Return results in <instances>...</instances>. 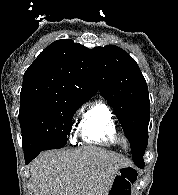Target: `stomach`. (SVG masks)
Segmentation results:
<instances>
[{
  "label": "stomach",
  "mask_w": 178,
  "mask_h": 195,
  "mask_svg": "<svg viewBox=\"0 0 178 195\" xmlns=\"http://www.w3.org/2000/svg\"><path fill=\"white\" fill-rule=\"evenodd\" d=\"M127 168H130V167H124V168H121V169L118 171V173L116 174V176H115V178H114L112 187H111V189H110L108 195H112V194L114 193L115 187H116L115 185H116V182H117L118 180H120L119 178H122V177L125 178V176L127 175V173L130 171V170L127 169ZM125 180H128V179L125 178ZM124 190H128V189L125 188Z\"/></svg>",
  "instance_id": "obj_1"
}]
</instances>
